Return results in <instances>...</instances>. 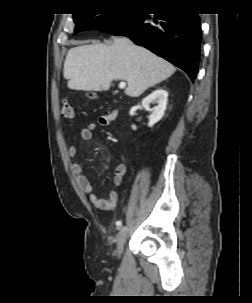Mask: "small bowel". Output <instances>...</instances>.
Listing matches in <instances>:
<instances>
[{
    "mask_svg": "<svg viewBox=\"0 0 252 303\" xmlns=\"http://www.w3.org/2000/svg\"><path fill=\"white\" fill-rule=\"evenodd\" d=\"M99 124L91 123L88 127L77 131L74 134V141H88L91 139L94 131L99 129ZM78 148L75 144H72L68 148V155L71 159L70 169L72 174L75 176L76 182L82 192L89 195V200L94 207L103 211H113L118 204L119 195L116 190H110L108 198L104 199L99 197L93 192V186L87 176L83 173L82 166L75 160L77 156ZM105 168L108 167L107 164L104 165ZM126 172V165L119 164L113 175V182L116 186H120L123 182V177Z\"/></svg>",
    "mask_w": 252,
    "mask_h": 303,
    "instance_id": "1",
    "label": "small bowel"
}]
</instances>
